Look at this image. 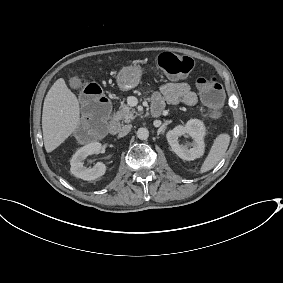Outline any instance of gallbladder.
Here are the masks:
<instances>
[{
    "instance_id": "obj_1",
    "label": "gallbladder",
    "mask_w": 283,
    "mask_h": 283,
    "mask_svg": "<svg viewBox=\"0 0 283 283\" xmlns=\"http://www.w3.org/2000/svg\"><path fill=\"white\" fill-rule=\"evenodd\" d=\"M74 78H79V77H72V78H70L69 79V86H70V88H72V89H74V90H78V89H81L82 87H83V85H84V82L81 80V85L79 86V87H74L73 85H72V80L74 79Z\"/></svg>"
}]
</instances>
